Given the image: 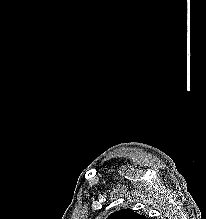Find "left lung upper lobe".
I'll list each match as a JSON object with an SVG mask.
<instances>
[{
  "mask_svg": "<svg viewBox=\"0 0 206 219\" xmlns=\"http://www.w3.org/2000/svg\"><path fill=\"white\" fill-rule=\"evenodd\" d=\"M107 219H147L144 215L135 213L130 209H122L108 216Z\"/></svg>",
  "mask_w": 206,
  "mask_h": 219,
  "instance_id": "1",
  "label": "left lung upper lobe"
}]
</instances>
